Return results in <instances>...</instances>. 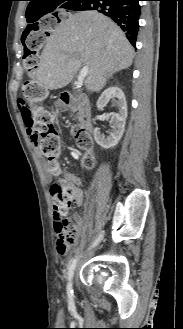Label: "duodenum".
Masks as SVG:
<instances>
[{"mask_svg":"<svg viewBox=\"0 0 183 329\" xmlns=\"http://www.w3.org/2000/svg\"><path fill=\"white\" fill-rule=\"evenodd\" d=\"M58 100L67 107L75 109L78 113L79 120L88 134L92 133L91 125V105L87 97L83 94H71L61 92Z\"/></svg>","mask_w":183,"mask_h":329,"instance_id":"410a0bca","label":"duodenum"}]
</instances>
